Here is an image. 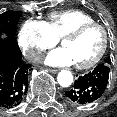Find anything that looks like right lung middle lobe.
Here are the masks:
<instances>
[{"label":"right lung middle lobe","mask_w":117,"mask_h":117,"mask_svg":"<svg viewBox=\"0 0 117 117\" xmlns=\"http://www.w3.org/2000/svg\"><path fill=\"white\" fill-rule=\"evenodd\" d=\"M21 15L22 12L11 10L0 14V37L5 34L8 38H15L17 23Z\"/></svg>","instance_id":"obj_1"}]
</instances>
